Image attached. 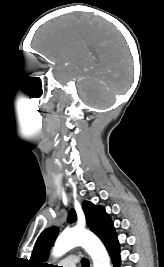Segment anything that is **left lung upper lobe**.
<instances>
[{"label":"left lung upper lobe","mask_w":164,"mask_h":267,"mask_svg":"<svg viewBox=\"0 0 164 267\" xmlns=\"http://www.w3.org/2000/svg\"><path fill=\"white\" fill-rule=\"evenodd\" d=\"M86 222L88 228L94 232L102 241H105L111 233L114 231L113 222L111 221L105 209L102 206H96L91 202L84 201L82 204ZM69 222L76 221V213L74 209H71L68 217ZM59 229L57 227H51L44 230L38 237L31 258L30 263L34 267H51L47 263H44L48 252L53 245Z\"/></svg>","instance_id":"obj_1"}]
</instances>
